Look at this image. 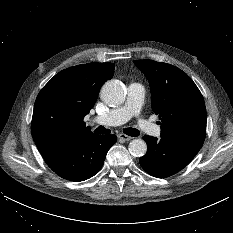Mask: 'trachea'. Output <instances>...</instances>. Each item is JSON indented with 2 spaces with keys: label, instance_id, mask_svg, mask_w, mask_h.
<instances>
[{
  "label": "trachea",
  "instance_id": "3493384b",
  "mask_svg": "<svg viewBox=\"0 0 233 233\" xmlns=\"http://www.w3.org/2000/svg\"><path fill=\"white\" fill-rule=\"evenodd\" d=\"M111 131L109 129H106L103 126H99L95 129V133L97 134H109ZM123 132L129 136L136 137L140 134V132L137 129L134 128H125Z\"/></svg>",
  "mask_w": 233,
  "mask_h": 233
}]
</instances>
